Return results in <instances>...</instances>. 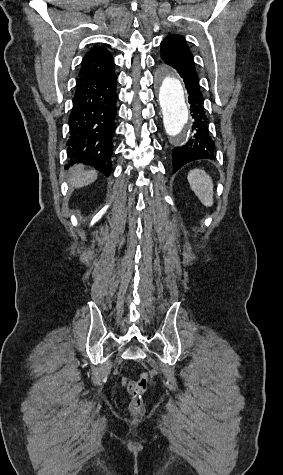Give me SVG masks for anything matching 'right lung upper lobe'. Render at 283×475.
<instances>
[{
    "label": "right lung upper lobe",
    "instance_id": "cb5924a9",
    "mask_svg": "<svg viewBox=\"0 0 283 475\" xmlns=\"http://www.w3.org/2000/svg\"><path fill=\"white\" fill-rule=\"evenodd\" d=\"M114 67L113 57L105 47L93 46L84 56L78 76L106 72Z\"/></svg>",
    "mask_w": 283,
    "mask_h": 475
}]
</instances>
